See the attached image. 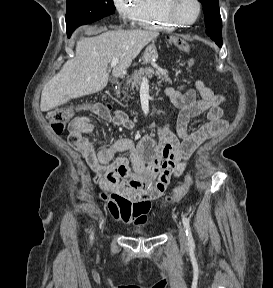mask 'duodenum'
<instances>
[{
	"label": "duodenum",
	"instance_id": "410a0bca",
	"mask_svg": "<svg viewBox=\"0 0 273 288\" xmlns=\"http://www.w3.org/2000/svg\"><path fill=\"white\" fill-rule=\"evenodd\" d=\"M113 94L116 95L117 94V90L114 89L113 90Z\"/></svg>",
	"mask_w": 273,
	"mask_h": 288
}]
</instances>
